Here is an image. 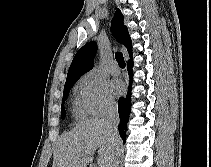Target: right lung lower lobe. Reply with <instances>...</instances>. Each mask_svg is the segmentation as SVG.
<instances>
[{"instance_id": "1", "label": "right lung lower lobe", "mask_w": 211, "mask_h": 167, "mask_svg": "<svg viewBox=\"0 0 211 167\" xmlns=\"http://www.w3.org/2000/svg\"><path fill=\"white\" fill-rule=\"evenodd\" d=\"M133 60L128 61L127 63V69L130 77V85L128 86V94L126 97H121L118 101V112H119V117H120V124L118 126V130L120 133L121 138L123 141H125V136H126V124L129 119V113H130V95H131V88H132V80H133Z\"/></svg>"}]
</instances>
